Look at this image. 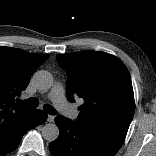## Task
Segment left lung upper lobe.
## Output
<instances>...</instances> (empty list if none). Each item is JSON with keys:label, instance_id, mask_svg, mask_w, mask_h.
I'll return each instance as SVG.
<instances>
[{"label": "left lung upper lobe", "instance_id": "1", "mask_svg": "<svg viewBox=\"0 0 156 156\" xmlns=\"http://www.w3.org/2000/svg\"><path fill=\"white\" fill-rule=\"evenodd\" d=\"M66 71V95L84 99L75 123L109 132L124 140L135 111L129 72L116 56L99 51L58 54Z\"/></svg>", "mask_w": 156, "mask_h": 156}]
</instances>
